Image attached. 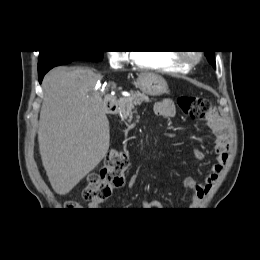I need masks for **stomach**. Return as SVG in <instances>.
Segmentation results:
<instances>
[{"label":"stomach","mask_w":260,"mask_h":260,"mask_svg":"<svg viewBox=\"0 0 260 260\" xmlns=\"http://www.w3.org/2000/svg\"><path fill=\"white\" fill-rule=\"evenodd\" d=\"M136 87L146 95L160 96L168 92L166 80L159 75L142 73L136 81Z\"/></svg>","instance_id":"0dacf381"}]
</instances>
